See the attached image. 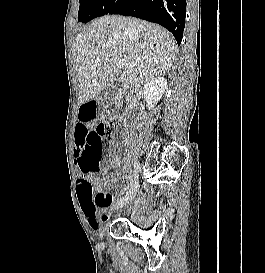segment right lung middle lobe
Masks as SVG:
<instances>
[{
    "label": "right lung middle lobe",
    "instance_id": "1",
    "mask_svg": "<svg viewBox=\"0 0 265 273\" xmlns=\"http://www.w3.org/2000/svg\"><path fill=\"white\" fill-rule=\"evenodd\" d=\"M117 0H79L78 22L87 23L108 14Z\"/></svg>",
    "mask_w": 265,
    "mask_h": 273
}]
</instances>
